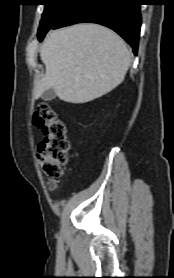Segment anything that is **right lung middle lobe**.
I'll return each instance as SVG.
<instances>
[{
    "instance_id": "right-lung-middle-lobe-1",
    "label": "right lung middle lobe",
    "mask_w": 174,
    "mask_h": 278,
    "mask_svg": "<svg viewBox=\"0 0 174 278\" xmlns=\"http://www.w3.org/2000/svg\"><path fill=\"white\" fill-rule=\"evenodd\" d=\"M45 9L40 22L38 34L48 31L61 18L63 13L75 0H42Z\"/></svg>"
}]
</instances>
